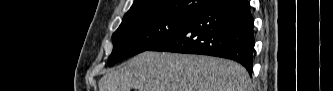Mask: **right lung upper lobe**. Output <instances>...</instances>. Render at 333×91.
<instances>
[{"label":"right lung upper lobe","mask_w":333,"mask_h":91,"mask_svg":"<svg viewBox=\"0 0 333 91\" xmlns=\"http://www.w3.org/2000/svg\"><path fill=\"white\" fill-rule=\"evenodd\" d=\"M204 0H135L122 23L152 15L196 16L204 7Z\"/></svg>","instance_id":"right-lung-upper-lobe-1"}]
</instances>
